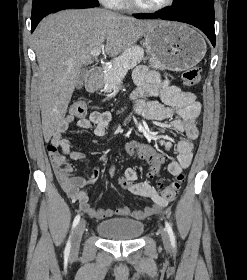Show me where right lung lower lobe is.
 <instances>
[{"label":"right lung lower lobe","instance_id":"1","mask_svg":"<svg viewBox=\"0 0 247 280\" xmlns=\"http://www.w3.org/2000/svg\"><path fill=\"white\" fill-rule=\"evenodd\" d=\"M92 7H95V5L89 4V3H84V2L65 3V4H62V5H59V6H56V7L52 8L46 15H48V14H50L52 12L58 11V10H62V9H68V8H92ZM42 18L37 19L35 21H31V31L32 32L36 28L37 24L40 22V20Z\"/></svg>","mask_w":247,"mask_h":280}]
</instances>
